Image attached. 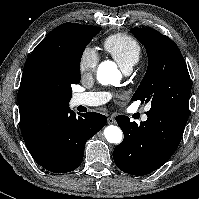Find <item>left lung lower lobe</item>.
<instances>
[{
  "label": "left lung lower lobe",
  "mask_w": 199,
  "mask_h": 199,
  "mask_svg": "<svg viewBox=\"0 0 199 199\" xmlns=\"http://www.w3.org/2000/svg\"><path fill=\"white\" fill-rule=\"evenodd\" d=\"M138 125L127 116L116 117L124 140L113 151L116 166L128 174L142 176L161 167L176 151L187 118L163 110H149Z\"/></svg>",
  "instance_id": "1"
}]
</instances>
